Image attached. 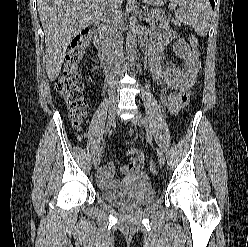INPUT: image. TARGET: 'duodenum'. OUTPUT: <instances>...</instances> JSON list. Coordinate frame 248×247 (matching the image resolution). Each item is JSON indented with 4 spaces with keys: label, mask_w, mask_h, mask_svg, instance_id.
<instances>
[{
    "label": "duodenum",
    "mask_w": 248,
    "mask_h": 247,
    "mask_svg": "<svg viewBox=\"0 0 248 247\" xmlns=\"http://www.w3.org/2000/svg\"><path fill=\"white\" fill-rule=\"evenodd\" d=\"M92 35L95 46L99 53L102 68L107 72L111 71L113 65V57L107 45L104 20H98L97 22H95L92 28Z\"/></svg>",
    "instance_id": "410a0bca"
}]
</instances>
